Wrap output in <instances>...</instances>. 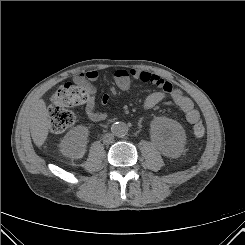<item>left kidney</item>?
I'll list each match as a JSON object with an SVG mask.
<instances>
[{
	"mask_svg": "<svg viewBox=\"0 0 245 245\" xmlns=\"http://www.w3.org/2000/svg\"><path fill=\"white\" fill-rule=\"evenodd\" d=\"M151 132L160 150L168 156L178 155L186 140L183 127L168 118L154 120L151 124Z\"/></svg>",
	"mask_w": 245,
	"mask_h": 245,
	"instance_id": "1",
	"label": "left kidney"
}]
</instances>
